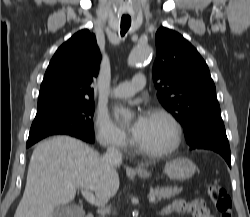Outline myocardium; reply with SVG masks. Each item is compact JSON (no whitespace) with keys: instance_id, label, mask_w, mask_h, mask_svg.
<instances>
[{"instance_id":"1","label":"myocardium","mask_w":250,"mask_h":217,"mask_svg":"<svg viewBox=\"0 0 250 217\" xmlns=\"http://www.w3.org/2000/svg\"><path fill=\"white\" fill-rule=\"evenodd\" d=\"M151 114L163 118L171 127L172 138L168 146L161 150H148L137 144L138 151L148 157L160 158L173 153L179 146L182 138V127L177 118L168 110L162 107H156L151 111Z\"/></svg>"}]
</instances>
